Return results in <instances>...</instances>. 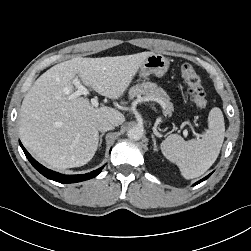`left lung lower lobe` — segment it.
Segmentation results:
<instances>
[{
    "label": "left lung lower lobe",
    "instance_id": "1",
    "mask_svg": "<svg viewBox=\"0 0 251 251\" xmlns=\"http://www.w3.org/2000/svg\"><path fill=\"white\" fill-rule=\"evenodd\" d=\"M212 174V173H211ZM211 174H209L208 176H206L205 178L201 179L200 181L196 182L194 185H197L199 184L200 182L206 180Z\"/></svg>",
    "mask_w": 251,
    "mask_h": 251
}]
</instances>
